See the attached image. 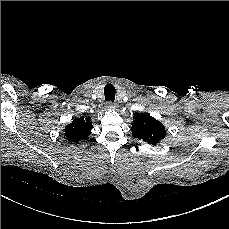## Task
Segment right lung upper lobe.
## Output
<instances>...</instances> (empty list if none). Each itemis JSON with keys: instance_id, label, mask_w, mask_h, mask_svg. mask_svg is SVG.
Segmentation results:
<instances>
[{"instance_id": "1", "label": "right lung upper lobe", "mask_w": 229, "mask_h": 229, "mask_svg": "<svg viewBox=\"0 0 229 229\" xmlns=\"http://www.w3.org/2000/svg\"><path fill=\"white\" fill-rule=\"evenodd\" d=\"M92 129V122L89 118L83 117L74 119L69 125L65 127L66 138L69 142L76 143L86 138Z\"/></svg>"}]
</instances>
